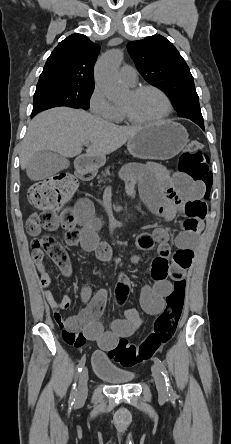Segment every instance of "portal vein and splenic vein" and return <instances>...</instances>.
Listing matches in <instances>:
<instances>
[{
	"instance_id": "obj_1",
	"label": "portal vein and splenic vein",
	"mask_w": 231,
	"mask_h": 444,
	"mask_svg": "<svg viewBox=\"0 0 231 444\" xmlns=\"http://www.w3.org/2000/svg\"><path fill=\"white\" fill-rule=\"evenodd\" d=\"M84 145H85V146H88V145H89V142L85 141V142H84Z\"/></svg>"
}]
</instances>
